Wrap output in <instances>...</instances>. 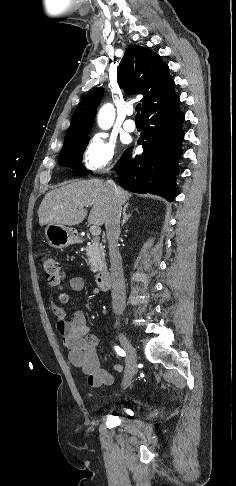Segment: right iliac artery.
<instances>
[{
    "label": "right iliac artery",
    "instance_id": "right-iliac-artery-1",
    "mask_svg": "<svg viewBox=\"0 0 236 486\" xmlns=\"http://www.w3.org/2000/svg\"><path fill=\"white\" fill-rule=\"evenodd\" d=\"M115 351L117 352L118 355L120 356H125L126 353L124 352L123 349H121L119 346H115Z\"/></svg>",
    "mask_w": 236,
    "mask_h": 486
}]
</instances>
